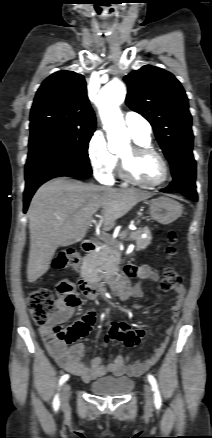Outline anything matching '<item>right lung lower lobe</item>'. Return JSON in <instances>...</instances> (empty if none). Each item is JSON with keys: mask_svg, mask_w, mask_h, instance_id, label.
<instances>
[{"mask_svg": "<svg viewBox=\"0 0 212 438\" xmlns=\"http://www.w3.org/2000/svg\"><path fill=\"white\" fill-rule=\"evenodd\" d=\"M92 174L90 166L68 163H32L25 166L24 212L37 188L60 176L85 177Z\"/></svg>", "mask_w": 212, "mask_h": 438, "instance_id": "right-lung-lower-lobe-1", "label": "right lung lower lobe"}]
</instances>
